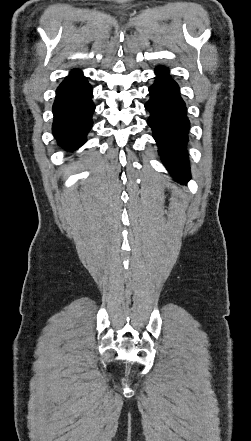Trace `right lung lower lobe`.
I'll list each match as a JSON object with an SVG mask.
<instances>
[{
  "label": "right lung lower lobe",
  "instance_id": "obj_1",
  "mask_svg": "<svg viewBox=\"0 0 251 441\" xmlns=\"http://www.w3.org/2000/svg\"><path fill=\"white\" fill-rule=\"evenodd\" d=\"M91 97L92 87L77 69L57 88L52 132L62 148L75 150L85 143L95 109Z\"/></svg>",
  "mask_w": 251,
  "mask_h": 441
}]
</instances>
